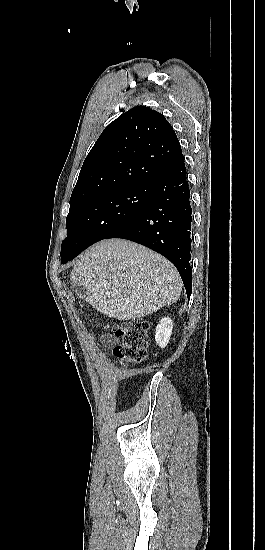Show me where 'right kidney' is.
<instances>
[{
    "instance_id": "right-kidney-1",
    "label": "right kidney",
    "mask_w": 265,
    "mask_h": 550,
    "mask_svg": "<svg viewBox=\"0 0 265 550\" xmlns=\"http://www.w3.org/2000/svg\"><path fill=\"white\" fill-rule=\"evenodd\" d=\"M172 328L173 321L169 317L162 318L160 323L157 325L155 340L161 348L167 346L172 334Z\"/></svg>"
}]
</instances>
